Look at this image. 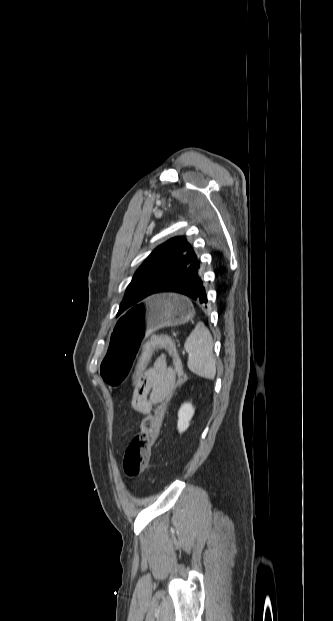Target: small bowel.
Segmentation results:
<instances>
[{"label":"small bowel","mask_w":333,"mask_h":621,"mask_svg":"<svg viewBox=\"0 0 333 621\" xmlns=\"http://www.w3.org/2000/svg\"><path fill=\"white\" fill-rule=\"evenodd\" d=\"M176 375L174 370L167 365L163 356L158 357L153 366L148 368L132 395V407L145 416L141 428L145 429L146 422L151 418L154 405L162 402L173 390Z\"/></svg>","instance_id":"small-bowel-1"}]
</instances>
